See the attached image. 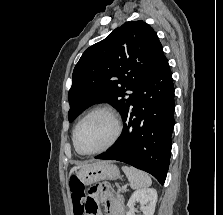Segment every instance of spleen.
<instances>
[{
  "label": "spleen",
  "mask_w": 223,
  "mask_h": 215,
  "mask_svg": "<svg viewBox=\"0 0 223 215\" xmlns=\"http://www.w3.org/2000/svg\"><path fill=\"white\" fill-rule=\"evenodd\" d=\"M122 169L124 173H126L133 189H140V187L151 185V177H149L148 173H145V171L136 169V167H128V165H123Z\"/></svg>",
  "instance_id": "1"
}]
</instances>
